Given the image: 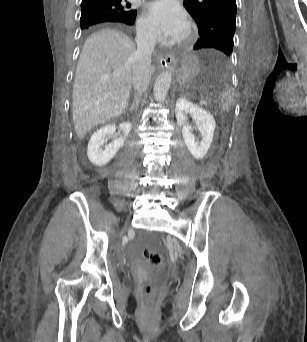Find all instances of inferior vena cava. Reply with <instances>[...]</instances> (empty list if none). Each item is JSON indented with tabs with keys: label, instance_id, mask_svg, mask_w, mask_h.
I'll return each instance as SVG.
<instances>
[{
	"label": "inferior vena cava",
	"instance_id": "602c4592",
	"mask_svg": "<svg viewBox=\"0 0 307 342\" xmlns=\"http://www.w3.org/2000/svg\"><path fill=\"white\" fill-rule=\"evenodd\" d=\"M156 38L155 32L149 30H144L136 36L137 52L132 56V84L138 96L146 92L154 72L151 66V54L154 52Z\"/></svg>",
	"mask_w": 307,
	"mask_h": 342
}]
</instances>
